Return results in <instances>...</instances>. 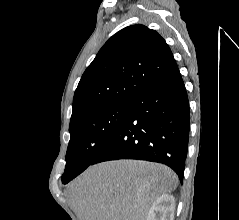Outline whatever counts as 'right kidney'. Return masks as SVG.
<instances>
[{
	"instance_id": "right-kidney-1",
	"label": "right kidney",
	"mask_w": 239,
	"mask_h": 220,
	"mask_svg": "<svg viewBox=\"0 0 239 220\" xmlns=\"http://www.w3.org/2000/svg\"><path fill=\"white\" fill-rule=\"evenodd\" d=\"M175 200L172 195L163 194L152 204L146 220H174Z\"/></svg>"
}]
</instances>
